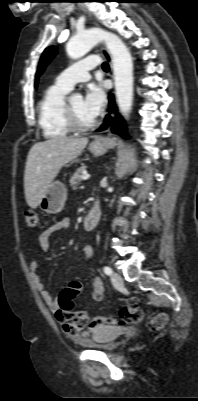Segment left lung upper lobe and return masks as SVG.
I'll list each match as a JSON object with an SVG mask.
<instances>
[{
	"mask_svg": "<svg viewBox=\"0 0 198 401\" xmlns=\"http://www.w3.org/2000/svg\"><path fill=\"white\" fill-rule=\"evenodd\" d=\"M57 53V48L54 46L48 47L44 50L40 62H39V66H38V71L36 74V80H38V77L41 75V73L44 71L46 65L51 61V59L55 56V54ZM36 86H37V82H36Z\"/></svg>",
	"mask_w": 198,
	"mask_h": 401,
	"instance_id": "5c2ea615",
	"label": "left lung upper lobe"
}]
</instances>
